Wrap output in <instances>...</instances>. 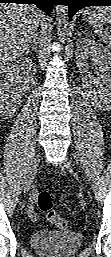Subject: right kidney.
Returning <instances> with one entry per match:
<instances>
[{"label":"right kidney","mask_w":111,"mask_h":257,"mask_svg":"<svg viewBox=\"0 0 111 257\" xmlns=\"http://www.w3.org/2000/svg\"><path fill=\"white\" fill-rule=\"evenodd\" d=\"M36 72L35 63L31 59H21L5 67L1 71L0 101L1 110L12 116L20 107L22 94L30 89Z\"/></svg>","instance_id":"ca27d5eb"}]
</instances>
